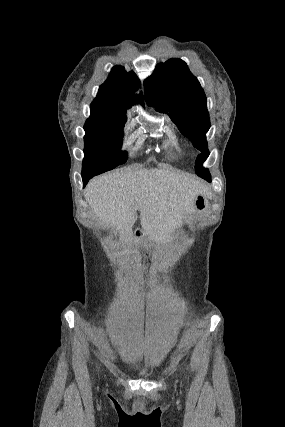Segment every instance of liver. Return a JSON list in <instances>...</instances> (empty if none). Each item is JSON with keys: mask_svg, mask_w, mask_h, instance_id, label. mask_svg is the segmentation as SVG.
Here are the masks:
<instances>
[{"mask_svg": "<svg viewBox=\"0 0 285 427\" xmlns=\"http://www.w3.org/2000/svg\"><path fill=\"white\" fill-rule=\"evenodd\" d=\"M208 187L188 174L151 168L114 171L92 179L85 198L107 228L130 239L140 211L144 231L153 237H170L195 212V199Z\"/></svg>", "mask_w": 285, "mask_h": 427, "instance_id": "1", "label": "liver"}]
</instances>
